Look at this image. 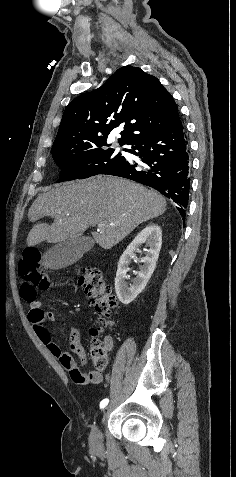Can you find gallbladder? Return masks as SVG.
<instances>
[{
    "instance_id": "bac80fb5",
    "label": "gallbladder",
    "mask_w": 236,
    "mask_h": 477,
    "mask_svg": "<svg viewBox=\"0 0 236 477\" xmlns=\"http://www.w3.org/2000/svg\"><path fill=\"white\" fill-rule=\"evenodd\" d=\"M93 246L94 240L91 237L80 236L67 239L49 248L45 252L43 260L49 268H65L77 262Z\"/></svg>"
}]
</instances>
